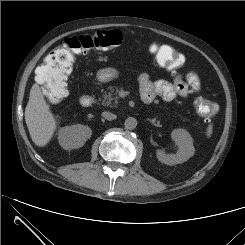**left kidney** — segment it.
<instances>
[{
    "label": "left kidney",
    "instance_id": "1",
    "mask_svg": "<svg viewBox=\"0 0 245 245\" xmlns=\"http://www.w3.org/2000/svg\"><path fill=\"white\" fill-rule=\"evenodd\" d=\"M173 141L178 146L176 154H166L162 150L156 151V156L161 163L175 165L187 161L194 155L195 148L191 135L184 129H174L171 133Z\"/></svg>",
    "mask_w": 245,
    "mask_h": 245
}]
</instances>
